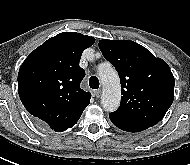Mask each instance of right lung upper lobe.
<instances>
[{"mask_svg": "<svg viewBox=\"0 0 190 165\" xmlns=\"http://www.w3.org/2000/svg\"><path fill=\"white\" fill-rule=\"evenodd\" d=\"M94 42L80 33H60L32 51L20 67L18 92L24 107L56 132L73 127L90 103V92L80 88L85 71L79 62Z\"/></svg>", "mask_w": 190, "mask_h": 165, "instance_id": "right-lung-upper-lobe-1", "label": "right lung upper lobe"}]
</instances>
